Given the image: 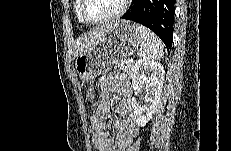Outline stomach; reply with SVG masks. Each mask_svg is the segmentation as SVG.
<instances>
[{"instance_id": "1", "label": "stomach", "mask_w": 231, "mask_h": 151, "mask_svg": "<svg viewBox=\"0 0 231 151\" xmlns=\"http://www.w3.org/2000/svg\"><path fill=\"white\" fill-rule=\"evenodd\" d=\"M139 45V35L133 22H113L96 45L76 57V72L82 81L91 82L113 64L136 52Z\"/></svg>"}]
</instances>
